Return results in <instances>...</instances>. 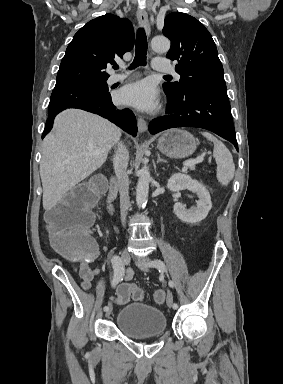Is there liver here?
I'll return each instance as SVG.
<instances>
[{
	"mask_svg": "<svg viewBox=\"0 0 283 384\" xmlns=\"http://www.w3.org/2000/svg\"><path fill=\"white\" fill-rule=\"evenodd\" d=\"M120 138V128L95 114L83 110L58 114L52 132L43 140L40 176L44 210H52L69 190L101 168Z\"/></svg>",
	"mask_w": 283,
	"mask_h": 384,
	"instance_id": "1",
	"label": "liver"
}]
</instances>
